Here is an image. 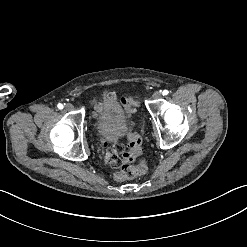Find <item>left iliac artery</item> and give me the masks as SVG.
<instances>
[{"mask_svg": "<svg viewBox=\"0 0 247 247\" xmlns=\"http://www.w3.org/2000/svg\"><path fill=\"white\" fill-rule=\"evenodd\" d=\"M168 93H169L168 90H163L162 95L164 96V95H167Z\"/></svg>", "mask_w": 247, "mask_h": 247, "instance_id": "obj_1", "label": "left iliac artery"}]
</instances>
